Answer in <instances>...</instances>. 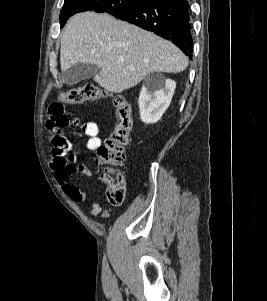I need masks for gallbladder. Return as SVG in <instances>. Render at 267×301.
<instances>
[{"instance_id":"bac80fb5","label":"gallbladder","mask_w":267,"mask_h":301,"mask_svg":"<svg viewBox=\"0 0 267 301\" xmlns=\"http://www.w3.org/2000/svg\"><path fill=\"white\" fill-rule=\"evenodd\" d=\"M100 71V68L95 64L76 63L69 69L62 72V81L69 86H73L78 82L93 78Z\"/></svg>"}]
</instances>
